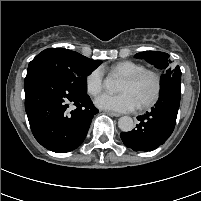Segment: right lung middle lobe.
<instances>
[{
	"label": "right lung middle lobe",
	"instance_id": "obj_1",
	"mask_svg": "<svg viewBox=\"0 0 201 201\" xmlns=\"http://www.w3.org/2000/svg\"><path fill=\"white\" fill-rule=\"evenodd\" d=\"M101 63L100 60L89 59L65 48H48L29 63L27 72L50 70L70 82L78 92L86 94V77Z\"/></svg>",
	"mask_w": 201,
	"mask_h": 201
}]
</instances>
